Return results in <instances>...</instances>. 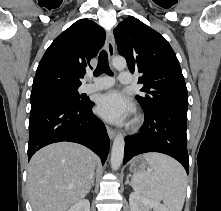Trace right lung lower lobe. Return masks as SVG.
Returning <instances> with one entry per match:
<instances>
[{
	"mask_svg": "<svg viewBox=\"0 0 221 211\" xmlns=\"http://www.w3.org/2000/svg\"><path fill=\"white\" fill-rule=\"evenodd\" d=\"M94 103H45L31 108L29 119L28 159L40 148L55 142L82 144L97 153L104 164L110 140L102 121L91 111Z\"/></svg>",
	"mask_w": 221,
	"mask_h": 211,
	"instance_id": "1",
	"label": "right lung lower lobe"
}]
</instances>
